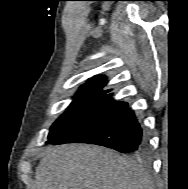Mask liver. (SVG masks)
Wrapping results in <instances>:
<instances>
[{"mask_svg": "<svg viewBox=\"0 0 188 189\" xmlns=\"http://www.w3.org/2000/svg\"><path fill=\"white\" fill-rule=\"evenodd\" d=\"M31 189H153L148 173L114 151L89 144L46 150Z\"/></svg>", "mask_w": 188, "mask_h": 189, "instance_id": "1", "label": "liver"}]
</instances>
